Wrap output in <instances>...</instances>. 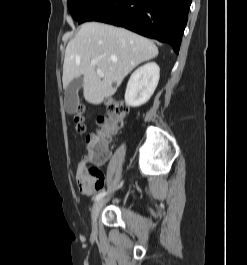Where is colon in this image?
Here are the masks:
<instances>
[{
  "label": "colon",
  "instance_id": "obj_1",
  "mask_svg": "<svg viewBox=\"0 0 247 265\" xmlns=\"http://www.w3.org/2000/svg\"><path fill=\"white\" fill-rule=\"evenodd\" d=\"M107 109L108 114L97 120L96 130L86 136L87 154L83 158V164L86 172L91 176L102 174L99 167L109 159L108 145L123 128L129 111L126 103L115 99L107 102ZM74 121L76 130L83 134L86 126L81 105L74 116Z\"/></svg>",
  "mask_w": 247,
  "mask_h": 265
}]
</instances>
